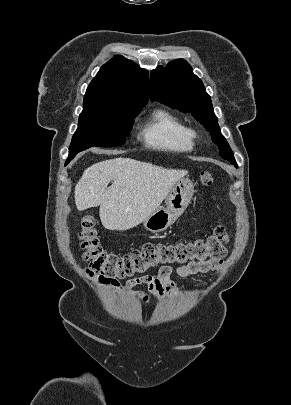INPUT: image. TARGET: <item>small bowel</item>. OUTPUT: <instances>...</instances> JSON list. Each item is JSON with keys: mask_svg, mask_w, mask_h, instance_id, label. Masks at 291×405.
I'll use <instances>...</instances> for the list:
<instances>
[{"mask_svg": "<svg viewBox=\"0 0 291 405\" xmlns=\"http://www.w3.org/2000/svg\"><path fill=\"white\" fill-rule=\"evenodd\" d=\"M223 259L209 260L204 262H192L187 265H181L173 269L170 266L162 267L155 275H145L135 277L127 281V289L145 304H149L151 298L157 300L166 297H176L179 291L172 281V274L175 272L179 277H189L199 273H208L219 270L223 265ZM145 285L149 293L135 290V287Z\"/></svg>", "mask_w": 291, "mask_h": 405, "instance_id": "1", "label": "small bowel"}]
</instances>
